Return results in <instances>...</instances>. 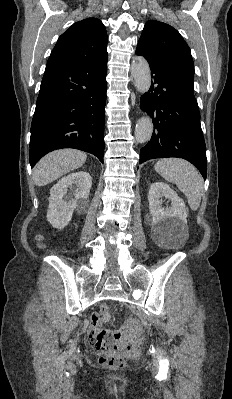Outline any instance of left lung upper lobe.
<instances>
[{"mask_svg":"<svg viewBox=\"0 0 232 399\" xmlns=\"http://www.w3.org/2000/svg\"><path fill=\"white\" fill-rule=\"evenodd\" d=\"M137 48L159 58L194 94V64L190 48L176 29L163 22L150 20L145 24Z\"/></svg>","mask_w":232,"mask_h":399,"instance_id":"5c2ea615","label":"left lung upper lobe"}]
</instances>
